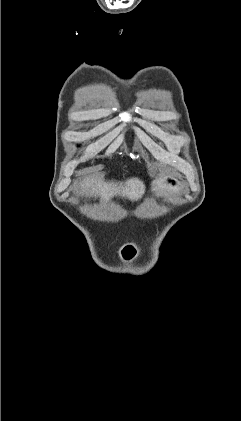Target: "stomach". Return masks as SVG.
Listing matches in <instances>:
<instances>
[{
    "instance_id": "obj_1",
    "label": "stomach",
    "mask_w": 241,
    "mask_h": 421,
    "mask_svg": "<svg viewBox=\"0 0 241 421\" xmlns=\"http://www.w3.org/2000/svg\"><path fill=\"white\" fill-rule=\"evenodd\" d=\"M154 187L161 192H175L180 193L184 189L183 183L171 175H159L154 181Z\"/></svg>"
}]
</instances>
